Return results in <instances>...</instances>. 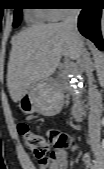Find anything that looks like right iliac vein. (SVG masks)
<instances>
[{"mask_svg":"<svg viewBox=\"0 0 104 169\" xmlns=\"http://www.w3.org/2000/svg\"><path fill=\"white\" fill-rule=\"evenodd\" d=\"M92 149L96 158V161L100 167H103L104 163V151L99 144H93ZM103 169V168H101Z\"/></svg>","mask_w":104,"mask_h":169,"instance_id":"1","label":"right iliac vein"}]
</instances>
